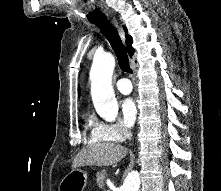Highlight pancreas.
Returning a JSON list of instances; mask_svg holds the SVG:
<instances>
[{"label":"pancreas","mask_w":221,"mask_h":191,"mask_svg":"<svg viewBox=\"0 0 221 191\" xmlns=\"http://www.w3.org/2000/svg\"><path fill=\"white\" fill-rule=\"evenodd\" d=\"M106 176H107V174L104 171L98 172L96 174V181H97V184L100 188L104 187V185H105L104 181H105Z\"/></svg>","instance_id":"obj_1"}]
</instances>
